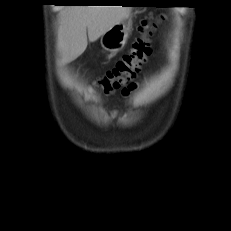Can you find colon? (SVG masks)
I'll return each mask as SVG.
<instances>
[{
	"label": "colon",
	"instance_id": "obj_1",
	"mask_svg": "<svg viewBox=\"0 0 231 231\" xmlns=\"http://www.w3.org/2000/svg\"><path fill=\"white\" fill-rule=\"evenodd\" d=\"M155 27L156 24L150 19L142 20L138 28L140 36L133 43L131 50L98 80V85L105 93L117 90L136 77L151 53L149 36Z\"/></svg>",
	"mask_w": 231,
	"mask_h": 231
}]
</instances>
